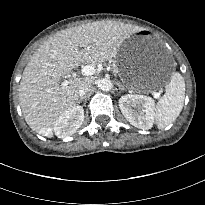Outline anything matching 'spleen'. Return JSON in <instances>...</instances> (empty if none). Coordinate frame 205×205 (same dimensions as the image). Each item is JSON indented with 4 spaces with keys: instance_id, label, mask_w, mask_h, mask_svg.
Returning a JSON list of instances; mask_svg holds the SVG:
<instances>
[{
    "instance_id": "spleen-1",
    "label": "spleen",
    "mask_w": 205,
    "mask_h": 205,
    "mask_svg": "<svg viewBox=\"0 0 205 205\" xmlns=\"http://www.w3.org/2000/svg\"><path fill=\"white\" fill-rule=\"evenodd\" d=\"M185 98V81L179 72H174L166 86L165 94L155 108L156 125L164 129L180 115Z\"/></svg>"
}]
</instances>
